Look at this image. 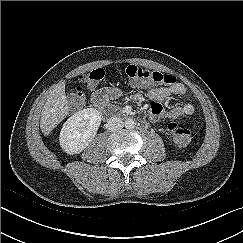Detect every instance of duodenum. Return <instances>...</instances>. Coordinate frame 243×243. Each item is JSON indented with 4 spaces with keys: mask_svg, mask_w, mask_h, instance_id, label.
<instances>
[{
    "mask_svg": "<svg viewBox=\"0 0 243 243\" xmlns=\"http://www.w3.org/2000/svg\"><path fill=\"white\" fill-rule=\"evenodd\" d=\"M105 103H106L105 100H100V101H98V104H97V105H103V104H105Z\"/></svg>",
    "mask_w": 243,
    "mask_h": 243,
    "instance_id": "obj_1",
    "label": "duodenum"
}]
</instances>
